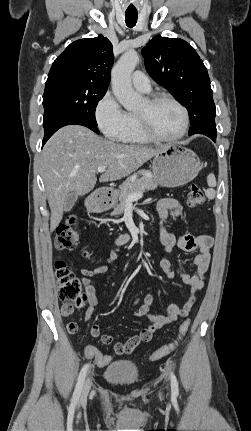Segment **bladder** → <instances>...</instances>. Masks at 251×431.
<instances>
[{"mask_svg":"<svg viewBox=\"0 0 251 431\" xmlns=\"http://www.w3.org/2000/svg\"><path fill=\"white\" fill-rule=\"evenodd\" d=\"M103 377L115 385L131 386L138 380L139 369L131 360H118L106 367Z\"/></svg>","mask_w":251,"mask_h":431,"instance_id":"31cf9c89","label":"bladder"}]
</instances>
